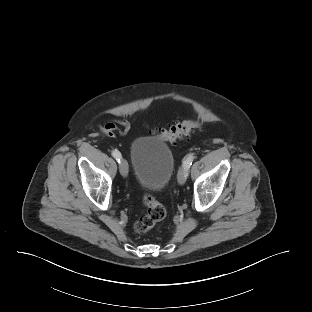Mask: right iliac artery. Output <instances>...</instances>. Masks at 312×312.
Listing matches in <instances>:
<instances>
[{"mask_svg": "<svg viewBox=\"0 0 312 312\" xmlns=\"http://www.w3.org/2000/svg\"><path fill=\"white\" fill-rule=\"evenodd\" d=\"M112 156H113L118 162H120L121 153H120L118 150H113V151H112Z\"/></svg>", "mask_w": 312, "mask_h": 312, "instance_id": "obj_1", "label": "right iliac artery"}]
</instances>
